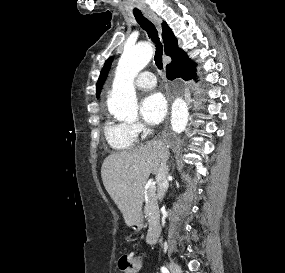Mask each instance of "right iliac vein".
Segmentation results:
<instances>
[{"label":"right iliac vein","mask_w":285,"mask_h":273,"mask_svg":"<svg viewBox=\"0 0 285 273\" xmlns=\"http://www.w3.org/2000/svg\"><path fill=\"white\" fill-rule=\"evenodd\" d=\"M169 269L172 273H182L181 267L172 261L169 262Z\"/></svg>","instance_id":"1"}]
</instances>
